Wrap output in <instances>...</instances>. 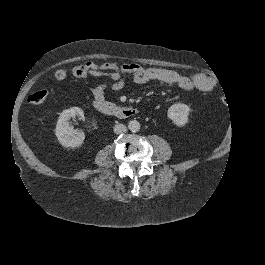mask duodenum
I'll use <instances>...</instances> for the list:
<instances>
[{
	"mask_svg": "<svg viewBox=\"0 0 265 265\" xmlns=\"http://www.w3.org/2000/svg\"><path fill=\"white\" fill-rule=\"evenodd\" d=\"M94 108L100 113L113 116L119 119H126L138 114V109L134 107L118 106L107 101H94Z\"/></svg>",
	"mask_w": 265,
	"mask_h": 265,
	"instance_id": "duodenum-1",
	"label": "duodenum"
}]
</instances>
